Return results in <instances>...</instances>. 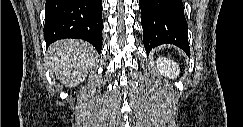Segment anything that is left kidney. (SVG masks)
<instances>
[{"label": "left kidney", "mask_w": 243, "mask_h": 127, "mask_svg": "<svg viewBox=\"0 0 243 127\" xmlns=\"http://www.w3.org/2000/svg\"><path fill=\"white\" fill-rule=\"evenodd\" d=\"M157 68L164 76L174 79L180 73L178 64L168 58L160 57L157 59Z\"/></svg>", "instance_id": "left-kidney-1"}]
</instances>
